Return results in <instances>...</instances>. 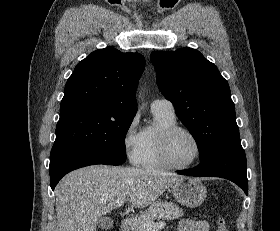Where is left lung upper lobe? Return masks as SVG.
Wrapping results in <instances>:
<instances>
[{"instance_id":"5c2ea615","label":"left lung upper lobe","mask_w":280,"mask_h":231,"mask_svg":"<svg viewBox=\"0 0 280 231\" xmlns=\"http://www.w3.org/2000/svg\"><path fill=\"white\" fill-rule=\"evenodd\" d=\"M157 85L193 135L200 161L220 149L240 143L235 106L228 82L197 50L154 51L150 57Z\"/></svg>"}]
</instances>
